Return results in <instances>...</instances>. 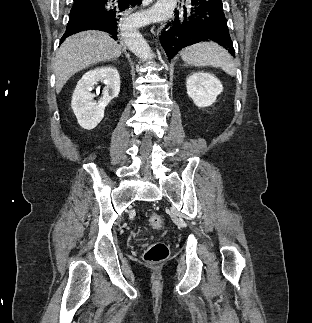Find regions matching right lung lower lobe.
Returning a JSON list of instances; mask_svg holds the SVG:
<instances>
[{"instance_id": "right-lung-lower-lobe-1", "label": "right lung lower lobe", "mask_w": 312, "mask_h": 323, "mask_svg": "<svg viewBox=\"0 0 312 323\" xmlns=\"http://www.w3.org/2000/svg\"><path fill=\"white\" fill-rule=\"evenodd\" d=\"M142 0H77L73 4L66 31L60 41L82 30H100L118 36L125 25L126 11Z\"/></svg>"}]
</instances>
